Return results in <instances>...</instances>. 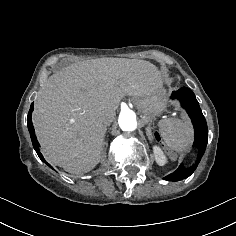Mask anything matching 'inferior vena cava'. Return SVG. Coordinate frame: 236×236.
<instances>
[{
	"mask_svg": "<svg viewBox=\"0 0 236 236\" xmlns=\"http://www.w3.org/2000/svg\"><path fill=\"white\" fill-rule=\"evenodd\" d=\"M105 120H106V122H108V123H109V122H111V120H112V119H111V117H109V116H108V117H106V119H105Z\"/></svg>",
	"mask_w": 236,
	"mask_h": 236,
	"instance_id": "602c4592",
	"label": "inferior vena cava"
}]
</instances>
